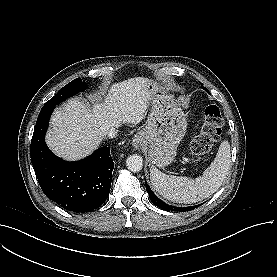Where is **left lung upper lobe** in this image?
Segmentation results:
<instances>
[{
  "mask_svg": "<svg viewBox=\"0 0 277 277\" xmlns=\"http://www.w3.org/2000/svg\"><path fill=\"white\" fill-rule=\"evenodd\" d=\"M203 89L206 90V91L208 92V90H207L205 87H204Z\"/></svg>",
  "mask_w": 277,
  "mask_h": 277,
  "instance_id": "left-lung-upper-lobe-1",
  "label": "left lung upper lobe"
}]
</instances>
